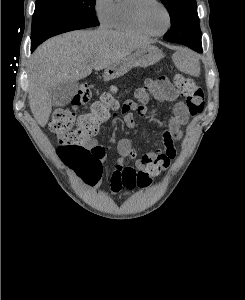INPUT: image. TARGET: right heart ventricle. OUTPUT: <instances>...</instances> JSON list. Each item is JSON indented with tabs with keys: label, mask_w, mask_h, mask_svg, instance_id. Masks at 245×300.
Here are the masks:
<instances>
[{
	"label": "right heart ventricle",
	"mask_w": 245,
	"mask_h": 300,
	"mask_svg": "<svg viewBox=\"0 0 245 300\" xmlns=\"http://www.w3.org/2000/svg\"><path fill=\"white\" fill-rule=\"evenodd\" d=\"M136 3L137 0H115L108 25L122 32L146 34L134 19V6Z\"/></svg>",
	"instance_id": "1"
}]
</instances>
